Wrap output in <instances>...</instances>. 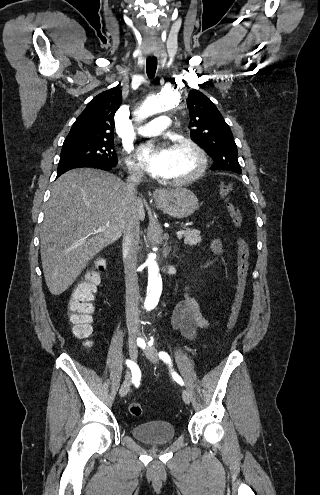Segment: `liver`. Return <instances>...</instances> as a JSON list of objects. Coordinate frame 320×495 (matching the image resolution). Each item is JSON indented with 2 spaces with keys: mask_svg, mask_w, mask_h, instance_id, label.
Returning <instances> with one entry per match:
<instances>
[{
  "mask_svg": "<svg viewBox=\"0 0 320 495\" xmlns=\"http://www.w3.org/2000/svg\"><path fill=\"white\" fill-rule=\"evenodd\" d=\"M134 207L145 219L143 201ZM128 200L125 184L113 174L77 168L53 184L40 231L46 284L53 295L66 291L91 260L124 232Z\"/></svg>",
  "mask_w": 320,
  "mask_h": 495,
  "instance_id": "liver-1",
  "label": "liver"
}]
</instances>
